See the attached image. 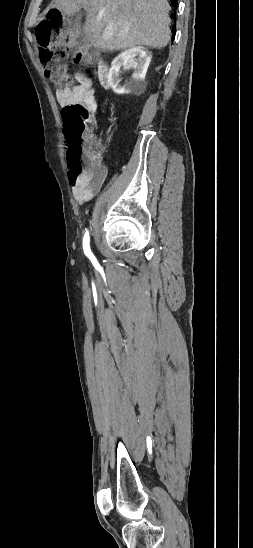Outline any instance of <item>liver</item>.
<instances>
[{"instance_id":"1","label":"liver","mask_w":253,"mask_h":548,"mask_svg":"<svg viewBox=\"0 0 253 548\" xmlns=\"http://www.w3.org/2000/svg\"><path fill=\"white\" fill-rule=\"evenodd\" d=\"M86 10L85 40L102 51L137 46L163 48L170 41L167 0H52L64 16Z\"/></svg>"}]
</instances>
